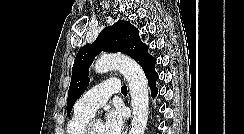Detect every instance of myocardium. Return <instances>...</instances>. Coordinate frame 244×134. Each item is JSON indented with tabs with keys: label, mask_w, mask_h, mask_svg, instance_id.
<instances>
[{
	"label": "myocardium",
	"mask_w": 244,
	"mask_h": 134,
	"mask_svg": "<svg viewBox=\"0 0 244 134\" xmlns=\"http://www.w3.org/2000/svg\"><path fill=\"white\" fill-rule=\"evenodd\" d=\"M95 121H89L88 124L85 126L83 134H92V126Z\"/></svg>",
	"instance_id": "f54148a6"
}]
</instances>
